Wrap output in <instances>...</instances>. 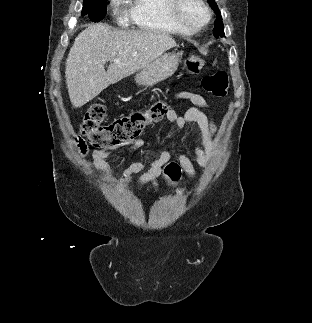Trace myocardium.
<instances>
[{"mask_svg": "<svg viewBox=\"0 0 312 323\" xmlns=\"http://www.w3.org/2000/svg\"><path fill=\"white\" fill-rule=\"evenodd\" d=\"M184 11H194L197 18H190L183 14ZM174 23L179 21L181 31H205L207 25L213 17V10H209L207 3L203 0H169V8L166 10Z\"/></svg>", "mask_w": 312, "mask_h": 323, "instance_id": "obj_1", "label": "myocardium"}]
</instances>
